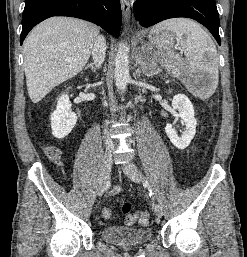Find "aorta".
<instances>
[{
  "label": "aorta",
  "mask_w": 247,
  "mask_h": 257,
  "mask_svg": "<svg viewBox=\"0 0 247 257\" xmlns=\"http://www.w3.org/2000/svg\"><path fill=\"white\" fill-rule=\"evenodd\" d=\"M115 85L118 91L124 92L130 80L129 76V46L127 43H120L114 69Z\"/></svg>",
  "instance_id": "762f6f07"
}]
</instances>
